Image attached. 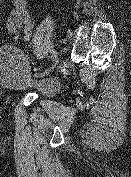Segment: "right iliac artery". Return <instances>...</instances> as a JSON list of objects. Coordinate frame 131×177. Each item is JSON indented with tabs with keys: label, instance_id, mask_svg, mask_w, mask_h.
<instances>
[{
	"label": "right iliac artery",
	"instance_id": "82829eb1",
	"mask_svg": "<svg viewBox=\"0 0 131 177\" xmlns=\"http://www.w3.org/2000/svg\"><path fill=\"white\" fill-rule=\"evenodd\" d=\"M56 57V51L53 49V50H50L49 51V59H46L45 60V63L46 64H49L50 63V60H52V58H55Z\"/></svg>",
	"mask_w": 131,
	"mask_h": 177
}]
</instances>
